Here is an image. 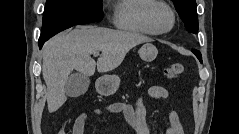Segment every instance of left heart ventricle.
Wrapping results in <instances>:
<instances>
[{"label":"left heart ventricle","mask_w":239,"mask_h":134,"mask_svg":"<svg viewBox=\"0 0 239 134\" xmlns=\"http://www.w3.org/2000/svg\"><path fill=\"white\" fill-rule=\"evenodd\" d=\"M171 20H172L171 14L165 8L158 7L155 10L154 21H155L156 26L159 29H161V30L168 29L171 25Z\"/></svg>","instance_id":"b2bd125f"}]
</instances>
